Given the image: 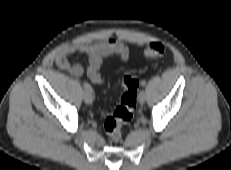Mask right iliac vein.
<instances>
[{
  "label": "right iliac vein",
  "instance_id": "63e3f726",
  "mask_svg": "<svg viewBox=\"0 0 231 170\" xmlns=\"http://www.w3.org/2000/svg\"><path fill=\"white\" fill-rule=\"evenodd\" d=\"M84 101L87 104H92V102H93V94H92V92L85 90V92H84Z\"/></svg>",
  "mask_w": 231,
  "mask_h": 170
}]
</instances>
